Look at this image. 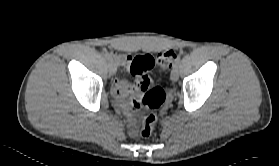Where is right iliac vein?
I'll return each instance as SVG.
<instances>
[{"mask_svg":"<svg viewBox=\"0 0 279 166\" xmlns=\"http://www.w3.org/2000/svg\"><path fill=\"white\" fill-rule=\"evenodd\" d=\"M108 70H109L110 75H115V73L117 71V68H116V65L113 61L109 62Z\"/></svg>","mask_w":279,"mask_h":166,"instance_id":"right-iliac-vein-1","label":"right iliac vein"}]
</instances>
